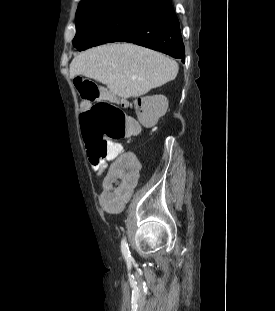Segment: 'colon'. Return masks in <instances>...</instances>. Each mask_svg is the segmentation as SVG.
<instances>
[{"instance_id":"obj_1","label":"colon","mask_w":275,"mask_h":311,"mask_svg":"<svg viewBox=\"0 0 275 311\" xmlns=\"http://www.w3.org/2000/svg\"><path fill=\"white\" fill-rule=\"evenodd\" d=\"M74 83L82 101H98L80 116L84 141L94 159L117 157L121 152L117 141L136 135L138 124L151 126L158 117L149 100H138L130 104L137 114L138 123H135L121 108L105 99L104 93L90 79L77 77Z\"/></svg>"}]
</instances>
